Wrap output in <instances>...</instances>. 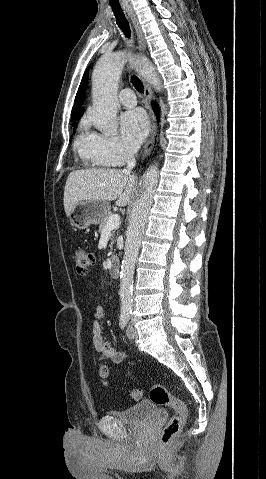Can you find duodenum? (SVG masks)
Listing matches in <instances>:
<instances>
[{
	"instance_id": "duodenum-1",
	"label": "duodenum",
	"mask_w": 266,
	"mask_h": 479,
	"mask_svg": "<svg viewBox=\"0 0 266 479\" xmlns=\"http://www.w3.org/2000/svg\"><path fill=\"white\" fill-rule=\"evenodd\" d=\"M109 273L112 278H118L120 275V261L116 255L110 257Z\"/></svg>"
}]
</instances>
